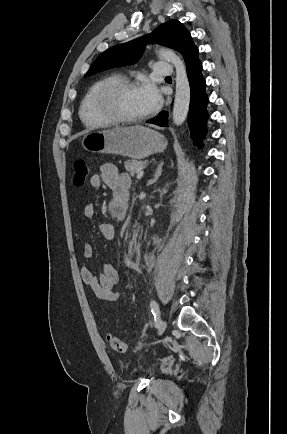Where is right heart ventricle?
Masks as SVG:
<instances>
[{"mask_svg":"<svg viewBox=\"0 0 287 434\" xmlns=\"http://www.w3.org/2000/svg\"><path fill=\"white\" fill-rule=\"evenodd\" d=\"M119 74H109L96 81L83 96L79 106V116L82 122L90 127H105L112 124L102 116L96 108L95 99L99 90L107 83L121 80Z\"/></svg>","mask_w":287,"mask_h":434,"instance_id":"e07e8e85","label":"right heart ventricle"}]
</instances>
